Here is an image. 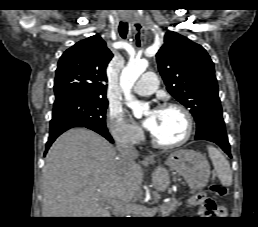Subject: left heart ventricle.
<instances>
[{"label":"left heart ventricle","mask_w":258,"mask_h":227,"mask_svg":"<svg viewBox=\"0 0 258 227\" xmlns=\"http://www.w3.org/2000/svg\"><path fill=\"white\" fill-rule=\"evenodd\" d=\"M153 116L154 126L151 132L162 142H175L186 132V121L183 114L176 109H164L148 112Z\"/></svg>","instance_id":"b2bd125f"}]
</instances>
